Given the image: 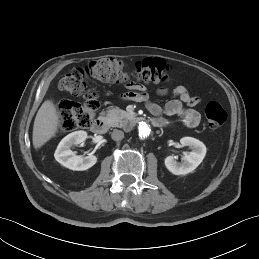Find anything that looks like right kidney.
<instances>
[{
	"label": "right kidney",
	"mask_w": 259,
	"mask_h": 259,
	"mask_svg": "<svg viewBox=\"0 0 259 259\" xmlns=\"http://www.w3.org/2000/svg\"><path fill=\"white\" fill-rule=\"evenodd\" d=\"M86 138L87 133L85 131H75L64 137L55 151L56 161L75 171H84L91 168L97 162L96 156L91 154L86 157L78 156L70 149L72 146L84 142Z\"/></svg>",
	"instance_id": "1"
}]
</instances>
